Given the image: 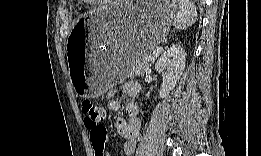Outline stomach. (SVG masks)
Instances as JSON below:
<instances>
[{
	"instance_id": "0dacf381",
	"label": "stomach",
	"mask_w": 261,
	"mask_h": 156,
	"mask_svg": "<svg viewBox=\"0 0 261 156\" xmlns=\"http://www.w3.org/2000/svg\"><path fill=\"white\" fill-rule=\"evenodd\" d=\"M174 2H112L90 11L73 27L67 42L70 80L83 98H94L129 76L136 62L167 36ZM83 40L80 56L75 40Z\"/></svg>"
}]
</instances>
